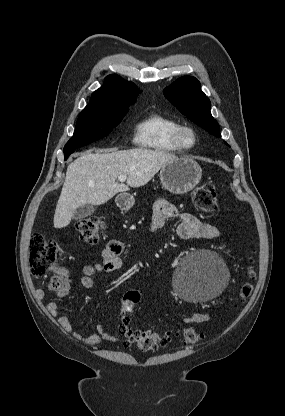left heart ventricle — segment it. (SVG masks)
<instances>
[{"instance_id": "b2bd125f", "label": "left heart ventricle", "mask_w": 285, "mask_h": 416, "mask_svg": "<svg viewBox=\"0 0 285 416\" xmlns=\"http://www.w3.org/2000/svg\"><path fill=\"white\" fill-rule=\"evenodd\" d=\"M184 138H185V142L187 144H191L192 143V138H191V136L189 134H185Z\"/></svg>"}]
</instances>
